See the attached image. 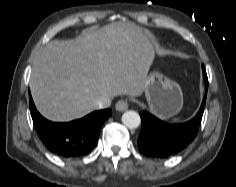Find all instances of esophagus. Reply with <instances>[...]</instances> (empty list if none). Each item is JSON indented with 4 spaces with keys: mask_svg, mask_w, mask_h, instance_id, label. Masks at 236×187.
Returning <instances> with one entry per match:
<instances>
[{
    "mask_svg": "<svg viewBox=\"0 0 236 187\" xmlns=\"http://www.w3.org/2000/svg\"><path fill=\"white\" fill-rule=\"evenodd\" d=\"M116 110L124 111L128 108V102L125 100H119L115 105Z\"/></svg>",
    "mask_w": 236,
    "mask_h": 187,
    "instance_id": "1",
    "label": "esophagus"
}]
</instances>
